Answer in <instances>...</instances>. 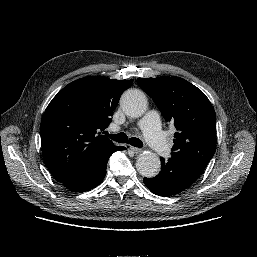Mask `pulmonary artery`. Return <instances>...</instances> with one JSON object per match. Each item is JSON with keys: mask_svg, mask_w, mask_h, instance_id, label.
Listing matches in <instances>:
<instances>
[{"mask_svg": "<svg viewBox=\"0 0 257 257\" xmlns=\"http://www.w3.org/2000/svg\"><path fill=\"white\" fill-rule=\"evenodd\" d=\"M140 127L149 145L159 156H167L170 147L165 133L161 130L159 115L156 111L148 112L140 121Z\"/></svg>", "mask_w": 257, "mask_h": 257, "instance_id": "1", "label": "pulmonary artery"}]
</instances>
